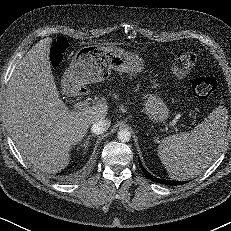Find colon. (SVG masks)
I'll list each match as a JSON object with an SVG mask.
<instances>
[{
  "label": "colon",
  "instance_id": "5ec220e1",
  "mask_svg": "<svg viewBox=\"0 0 231 231\" xmlns=\"http://www.w3.org/2000/svg\"><path fill=\"white\" fill-rule=\"evenodd\" d=\"M68 48L64 39H59L50 51V61L53 65H58L63 59V55ZM197 57L192 52H182L176 55L172 61L171 70L177 77L187 74L196 64ZM192 87L196 96L206 100L211 97L216 89V81L207 75H197L192 80Z\"/></svg>",
  "mask_w": 231,
  "mask_h": 231
}]
</instances>
